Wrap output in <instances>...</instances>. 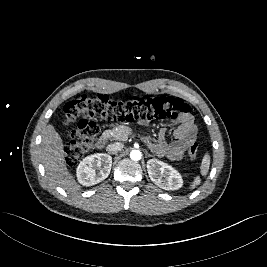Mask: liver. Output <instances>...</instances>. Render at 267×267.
<instances>
[{"label":"liver","mask_w":267,"mask_h":267,"mask_svg":"<svg viewBox=\"0 0 267 267\" xmlns=\"http://www.w3.org/2000/svg\"><path fill=\"white\" fill-rule=\"evenodd\" d=\"M40 156L46 174L51 181L67 192H78L81 187L68 171L65 163L63 141L52 124L43 131Z\"/></svg>","instance_id":"liver-1"}]
</instances>
